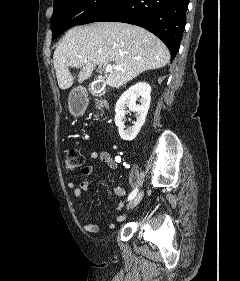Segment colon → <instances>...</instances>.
I'll list each match as a JSON object with an SVG mask.
<instances>
[{"mask_svg":"<svg viewBox=\"0 0 240 281\" xmlns=\"http://www.w3.org/2000/svg\"><path fill=\"white\" fill-rule=\"evenodd\" d=\"M84 156L78 147L69 148L64 155V166L69 170L82 167Z\"/></svg>","mask_w":240,"mask_h":281,"instance_id":"obj_1","label":"colon"}]
</instances>
